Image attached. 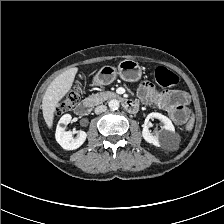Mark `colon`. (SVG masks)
<instances>
[{"label": "colon", "instance_id": "colon-1", "mask_svg": "<svg viewBox=\"0 0 224 224\" xmlns=\"http://www.w3.org/2000/svg\"><path fill=\"white\" fill-rule=\"evenodd\" d=\"M155 79L160 85L165 86V87L175 86L179 81L178 76L174 72L170 71L169 69H167L164 66H159L156 68ZM77 100H78V96L75 92L68 94L67 97H65L61 101L60 106H59V111L65 112V111L69 110L70 108H72L75 105ZM181 117H184L187 121L186 128L188 130L191 129L192 128V120L190 117V112L187 109H185L183 111V114Z\"/></svg>", "mask_w": 224, "mask_h": 224}]
</instances>
